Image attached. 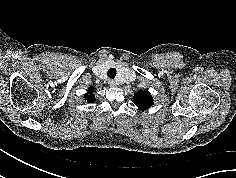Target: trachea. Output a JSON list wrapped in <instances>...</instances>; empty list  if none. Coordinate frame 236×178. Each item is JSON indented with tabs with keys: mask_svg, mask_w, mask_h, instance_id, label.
<instances>
[{
	"mask_svg": "<svg viewBox=\"0 0 236 178\" xmlns=\"http://www.w3.org/2000/svg\"><path fill=\"white\" fill-rule=\"evenodd\" d=\"M109 78L114 79L116 76V69L115 68H110L107 73Z\"/></svg>",
	"mask_w": 236,
	"mask_h": 178,
	"instance_id": "1",
	"label": "trachea"
}]
</instances>
